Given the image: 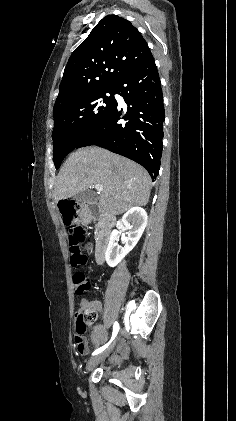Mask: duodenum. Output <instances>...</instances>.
<instances>
[{
	"label": "duodenum",
	"mask_w": 236,
	"mask_h": 421,
	"mask_svg": "<svg viewBox=\"0 0 236 421\" xmlns=\"http://www.w3.org/2000/svg\"><path fill=\"white\" fill-rule=\"evenodd\" d=\"M77 208L83 223L89 224L92 221L99 222V234L95 246V261L98 264H102L106 257L116 219L111 213L103 211L94 201L77 204ZM103 338L104 329L101 328L97 332L95 341L100 342Z\"/></svg>",
	"instance_id": "duodenum-1"
}]
</instances>
